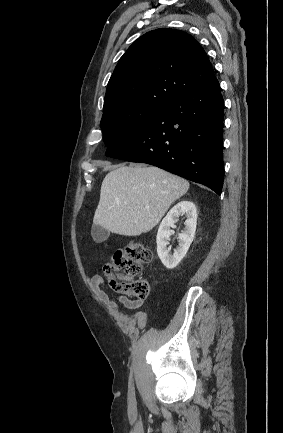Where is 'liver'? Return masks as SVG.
<instances>
[{"instance_id": "liver-1", "label": "liver", "mask_w": 283, "mask_h": 433, "mask_svg": "<svg viewBox=\"0 0 283 433\" xmlns=\"http://www.w3.org/2000/svg\"><path fill=\"white\" fill-rule=\"evenodd\" d=\"M188 188V180L157 166L118 164L101 184L93 223L126 237L148 233Z\"/></svg>"}]
</instances>
